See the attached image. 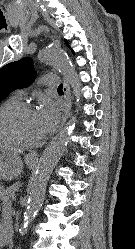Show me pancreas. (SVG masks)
<instances>
[{"label": "pancreas", "mask_w": 135, "mask_h": 249, "mask_svg": "<svg viewBox=\"0 0 135 249\" xmlns=\"http://www.w3.org/2000/svg\"><path fill=\"white\" fill-rule=\"evenodd\" d=\"M18 187L16 185H13L6 190L2 189L1 192L4 194L5 198L8 199L10 196H12L16 191Z\"/></svg>", "instance_id": "pancreas-1"}]
</instances>
